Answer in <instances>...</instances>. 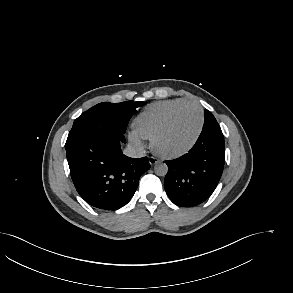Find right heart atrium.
<instances>
[{
    "instance_id": "1",
    "label": "right heart atrium",
    "mask_w": 293,
    "mask_h": 293,
    "mask_svg": "<svg viewBox=\"0 0 293 293\" xmlns=\"http://www.w3.org/2000/svg\"><path fill=\"white\" fill-rule=\"evenodd\" d=\"M130 142L137 148H144L145 146L143 138L135 133L130 135Z\"/></svg>"
}]
</instances>
